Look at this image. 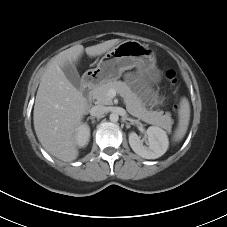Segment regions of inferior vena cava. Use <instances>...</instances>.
I'll return each instance as SVG.
<instances>
[{
  "instance_id": "1",
  "label": "inferior vena cava",
  "mask_w": 227,
  "mask_h": 227,
  "mask_svg": "<svg viewBox=\"0 0 227 227\" xmlns=\"http://www.w3.org/2000/svg\"><path fill=\"white\" fill-rule=\"evenodd\" d=\"M106 112V107L102 105H96L91 108L90 115L94 117H100Z\"/></svg>"
}]
</instances>
